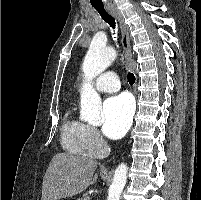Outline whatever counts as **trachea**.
<instances>
[{"label":"trachea","mask_w":201,"mask_h":200,"mask_svg":"<svg viewBox=\"0 0 201 200\" xmlns=\"http://www.w3.org/2000/svg\"><path fill=\"white\" fill-rule=\"evenodd\" d=\"M94 9L99 13L102 19L110 25L113 29L116 27V22L113 16H111L107 10L105 9L104 5H94ZM127 79L129 84L133 85L135 83V76L133 73L129 72L127 74Z\"/></svg>","instance_id":"trachea-1"}]
</instances>
